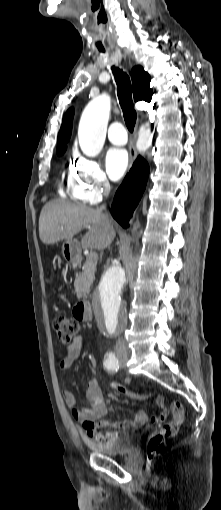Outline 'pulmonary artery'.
I'll return each instance as SVG.
<instances>
[{"label": "pulmonary artery", "instance_id": "e3ab8cb5", "mask_svg": "<svg viewBox=\"0 0 221 510\" xmlns=\"http://www.w3.org/2000/svg\"><path fill=\"white\" fill-rule=\"evenodd\" d=\"M108 139L114 145H125L127 143V132L120 122H113L108 131Z\"/></svg>", "mask_w": 221, "mask_h": 510}]
</instances>
